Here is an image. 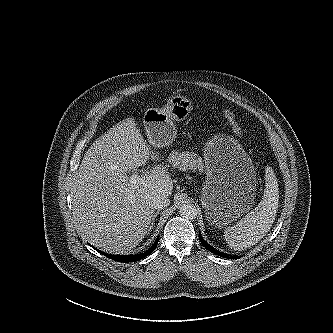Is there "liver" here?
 Returning <instances> with one entry per match:
<instances>
[{"label": "liver", "mask_w": 333, "mask_h": 333, "mask_svg": "<svg viewBox=\"0 0 333 333\" xmlns=\"http://www.w3.org/2000/svg\"><path fill=\"white\" fill-rule=\"evenodd\" d=\"M150 145L134 119L123 120L91 145L74 176L71 196L77 231L105 252L123 254L135 248L149 232L153 197L172 193L165 167H154L136 184L127 177L149 158L159 160Z\"/></svg>", "instance_id": "1"}]
</instances>
